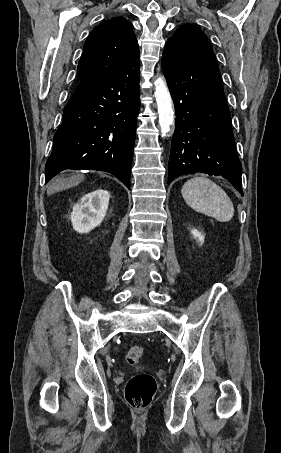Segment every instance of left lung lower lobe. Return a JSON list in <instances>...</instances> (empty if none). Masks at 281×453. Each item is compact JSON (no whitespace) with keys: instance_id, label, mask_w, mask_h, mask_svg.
Instances as JSON below:
<instances>
[{"instance_id":"1","label":"left lung lower lobe","mask_w":281,"mask_h":453,"mask_svg":"<svg viewBox=\"0 0 281 453\" xmlns=\"http://www.w3.org/2000/svg\"><path fill=\"white\" fill-rule=\"evenodd\" d=\"M176 111L168 184L182 174L221 175L243 195L231 117L215 55L168 40L162 57Z\"/></svg>"}]
</instances>
